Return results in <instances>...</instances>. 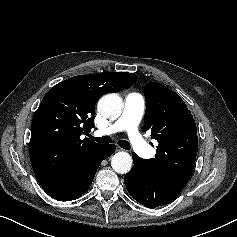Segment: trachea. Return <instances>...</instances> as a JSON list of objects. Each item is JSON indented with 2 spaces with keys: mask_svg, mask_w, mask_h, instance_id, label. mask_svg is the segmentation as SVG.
Returning <instances> with one entry per match:
<instances>
[{
  "mask_svg": "<svg viewBox=\"0 0 237 237\" xmlns=\"http://www.w3.org/2000/svg\"><path fill=\"white\" fill-rule=\"evenodd\" d=\"M89 138L96 141V142H99V143H111V138L109 136H103V137H93L91 135H89ZM118 145L123 148V149H126V150H130L131 146L129 144L128 141L126 140H120L118 141Z\"/></svg>",
  "mask_w": 237,
  "mask_h": 237,
  "instance_id": "obj_1",
  "label": "trachea"
}]
</instances>
